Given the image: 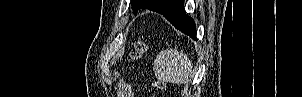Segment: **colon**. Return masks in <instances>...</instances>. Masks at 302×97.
Masks as SVG:
<instances>
[{"label": "colon", "instance_id": "1", "mask_svg": "<svg viewBox=\"0 0 302 97\" xmlns=\"http://www.w3.org/2000/svg\"><path fill=\"white\" fill-rule=\"evenodd\" d=\"M145 50H146V44L142 41H138L135 43L130 56L133 60H138L142 57Z\"/></svg>", "mask_w": 302, "mask_h": 97}]
</instances>
